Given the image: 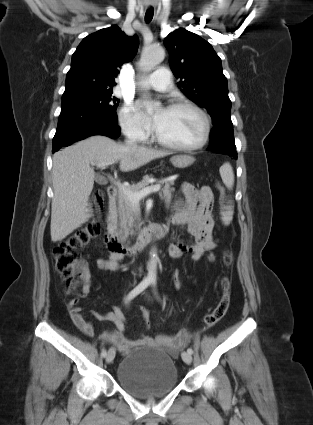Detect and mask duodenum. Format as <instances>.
<instances>
[{
  "instance_id": "410a0bca",
  "label": "duodenum",
  "mask_w": 313,
  "mask_h": 425,
  "mask_svg": "<svg viewBox=\"0 0 313 425\" xmlns=\"http://www.w3.org/2000/svg\"><path fill=\"white\" fill-rule=\"evenodd\" d=\"M116 196L117 188L110 185L107 188L108 205L103 231V241L109 251L122 256L133 255L137 251L141 250L151 240L160 239L164 236L165 228L163 226H153L152 228L142 232L135 244L125 245L120 236L117 234L115 227L117 217Z\"/></svg>"
}]
</instances>
